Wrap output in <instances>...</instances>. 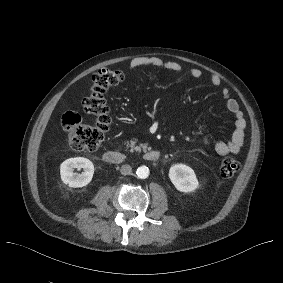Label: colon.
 Segmentation results:
<instances>
[{"instance_id":"1","label":"colon","mask_w":283,"mask_h":283,"mask_svg":"<svg viewBox=\"0 0 283 283\" xmlns=\"http://www.w3.org/2000/svg\"><path fill=\"white\" fill-rule=\"evenodd\" d=\"M124 79L125 75L121 70L109 68L101 69L93 76L88 93L82 101L84 111L95 117L93 125L84 124L78 113L68 111L63 114L61 125L74 150L91 152L99 148L110 123L106 92ZM239 168L237 160L227 157L221 161L219 172L221 176L230 178Z\"/></svg>"}]
</instances>
